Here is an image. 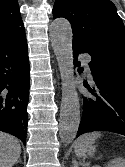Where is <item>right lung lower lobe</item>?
<instances>
[{
  "instance_id": "obj_1",
  "label": "right lung lower lobe",
  "mask_w": 125,
  "mask_h": 167,
  "mask_svg": "<svg viewBox=\"0 0 125 167\" xmlns=\"http://www.w3.org/2000/svg\"><path fill=\"white\" fill-rule=\"evenodd\" d=\"M30 69L25 34L0 41V131L27 135Z\"/></svg>"
}]
</instances>
